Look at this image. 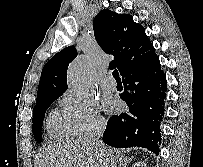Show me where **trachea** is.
Returning a JSON list of instances; mask_svg holds the SVG:
<instances>
[{
    "mask_svg": "<svg viewBox=\"0 0 203 167\" xmlns=\"http://www.w3.org/2000/svg\"><path fill=\"white\" fill-rule=\"evenodd\" d=\"M113 77L115 78L116 81H120V76L118 70L113 71Z\"/></svg>",
    "mask_w": 203,
    "mask_h": 167,
    "instance_id": "trachea-1",
    "label": "trachea"
}]
</instances>
